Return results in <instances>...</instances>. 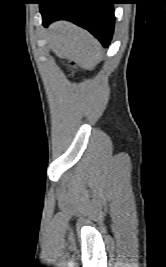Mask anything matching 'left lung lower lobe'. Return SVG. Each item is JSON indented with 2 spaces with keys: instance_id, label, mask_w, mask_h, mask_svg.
Here are the masks:
<instances>
[{
  "instance_id": "left-lung-lower-lobe-1",
  "label": "left lung lower lobe",
  "mask_w": 166,
  "mask_h": 267,
  "mask_svg": "<svg viewBox=\"0 0 166 267\" xmlns=\"http://www.w3.org/2000/svg\"><path fill=\"white\" fill-rule=\"evenodd\" d=\"M43 25L64 19L89 30L104 47L112 38L115 0H38Z\"/></svg>"
}]
</instances>
